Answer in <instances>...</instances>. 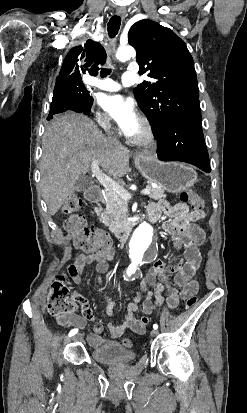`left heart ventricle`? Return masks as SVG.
Masks as SVG:
<instances>
[{
    "mask_svg": "<svg viewBox=\"0 0 247 413\" xmlns=\"http://www.w3.org/2000/svg\"><path fill=\"white\" fill-rule=\"evenodd\" d=\"M145 133V127L143 126V124H141V126L133 133L131 138H141L145 135Z\"/></svg>",
    "mask_w": 247,
    "mask_h": 413,
    "instance_id": "obj_1",
    "label": "left heart ventricle"
}]
</instances>
